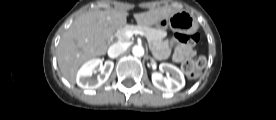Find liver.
Instances as JSON below:
<instances>
[{
	"label": "liver",
	"instance_id": "obj_1",
	"mask_svg": "<svg viewBox=\"0 0 276 120\" xmlns=\"http://www.w3.org/2000/svg\"><path fill=\"white\" fill-rule=\"evenodd\" d=\"M177 10L161 7L138 13L134 18L140 26L155 25ZM126 11L94 10L78 17L64 33L57 49V61L65 79L75 84L76 72L86 61L107 51V39L127 22Z\"/></svg>",
	"mask_w": 276,
	"mask_h": 120
}]
</instances>
